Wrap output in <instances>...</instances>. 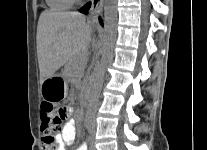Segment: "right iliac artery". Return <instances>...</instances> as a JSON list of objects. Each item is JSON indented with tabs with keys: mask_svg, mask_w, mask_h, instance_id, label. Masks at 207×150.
<instances>
[{
	"mask_svg": "<svg viewBox=\"0 0 207 150\" xmlns=\"http://www.w3.org/2000/svg\"><path fill=\"white\" fill-rule=\"evenodd\" d=\"M78 150H87V145L84 143Z\"/></svg>",
	"mask_w": 207,
	"mask_h": 150,
	"instance_id": "1",
	"label": "right iliac artery"
}]
</instances>
